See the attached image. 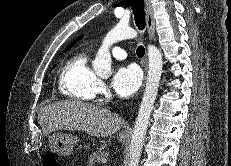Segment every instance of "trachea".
<instances>
[{
  "instance_id": "3493384b",
  "label": "trachea",
  "mask_w": 231,
  "mask_h": 166,
  "mask_svg": "<svg viewBox=\"0 0 231 166\" xmlns=\"http://www.w3.org/2000/svg\"><path fill=\"white\" fill-rule=\"evenodd\" d=\"M130 4L134 14L135 24L139 30H143L145 28V12L143 0H130ZM136 54L139 58H142L145 54L144 46H138Z\"/></svg>"
}]
</instances>
